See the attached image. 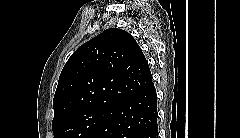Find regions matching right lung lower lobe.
<instances>
[{"label": "right lung lower lobe", "mask_w": 240, "mask_h": 138, "mask_svg": "<svg viewBox=\"0 0 240 138\" xmlns=\"http://www.w3.org/2000/svg\"><path fill=\"white\" fill-rule=\"evenodd\" d=\"M156 102L151 82L110 107L88 138H158Z\"/></svg>", "instance_id": "98d812e1"}]
</instances>
